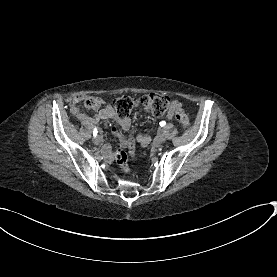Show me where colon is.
<instances>
[{"label": "colon", "instance_id": "obj_1", "mask_svg": "<svg viewBox=\"0 0 277 277\" xmlns=\"http://www.w3.org/2000/svg\"><path fill=\"white\" fill-rule=\"evenodd\" d=\"M84 99L88 106L93 107L94 103H97L99 98L97 94H86ZM111 104L116 114L120 118H125L133 109H142L144 112L154 116H162L170 109L172 102L167 95L146 93L136 96H117L112 99ZM174 115L176 121L183 129L189 126V118L185 110L180 107H175ZM130 150H132V145L126 143V149H118L115 154V159L124 172L129 171L127 159L128 151Z\"/></svg>", "mask_w": 277, "mask_h": 277}]
</instances>
